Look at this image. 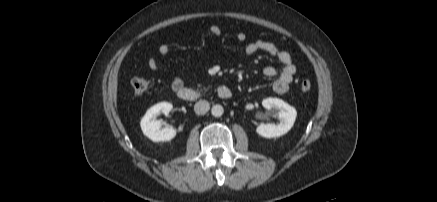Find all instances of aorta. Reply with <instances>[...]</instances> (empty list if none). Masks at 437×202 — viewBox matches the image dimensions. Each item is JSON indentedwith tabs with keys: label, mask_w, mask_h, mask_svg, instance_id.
I'll return each instance as SVG.
<instances>
[{
	"label": "aorta",
	"mask_w": 437,
	"mask_h": 202,
	"mask_svg": "<svg viewBox=\"0 0 437 202\" xmlns=\"http://www.w3.org/2000/svg\"><path fill=\"white\" fill-rule=\"evenodd\" d=\"M223 113H224V109H223V107H222L221 105H219V104L214 105V106L212 107V109H211V114H212L214 117H221V116L223 115Z\"/></svg>",
	"instance_id": "762f6f07"
}]
</instances>
